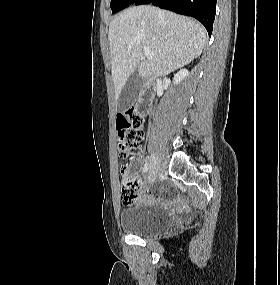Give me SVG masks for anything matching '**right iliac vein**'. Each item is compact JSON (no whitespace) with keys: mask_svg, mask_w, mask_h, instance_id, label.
Masks as SVG:
<instances>
[{"mask_svg":"<svg viewBox=\"0 0 280 285\" xmlns=\"http://www.w3.org/2000/svg\"><path fill=\"white\" fill-rule=\"evenodd\" d=\"M162 171V164L159 160V158L156 155H153L151 161H150V168L148 173V180L150 182H154L158 174Z\"/></svg>","mask_w":280,"mask_h":285,"instance_id":"obj_1","label":"right iliac vein"}]
</instances>
